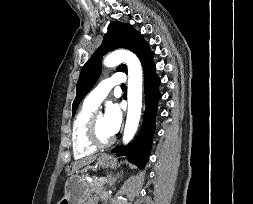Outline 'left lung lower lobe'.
Listing matches in <instances>:
<instances>
[{
	"instance_id": "1",
	"label": "left lung lower lobe",
	"mask_w": 253,
	"mask_h": 204,
	"mask_svg": "<svg viewBox=\"0 0 253 204\" xmlns=\"http://www.w3.org/2000/svg\"><path fill=\"white\" fill-rule=\"evenodd\" d=\"M153 56L154 53L151 50H148L141 61L144 69V88L146 103L142 128L136 139L128 146H117L112 150V152L116 153L117 156H127L130 162L136 164L140 168H144L149 159L155 129L157 102L161 97L158 89L160 79L155 73Z\"/></svg>"
}]
</instances>
